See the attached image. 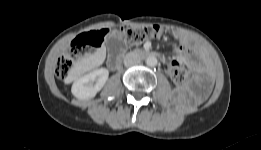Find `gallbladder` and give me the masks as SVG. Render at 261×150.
Here are the masks:
<instances>
[{
  "instance_id": "1",
  "label": "gallbladder",
  "mask_w": 261,
  "mask_h": 150,
  "mask_svg": "<svg viewBox=\"0 0 261 150\" xmlns=\"http://www.w3.org/2000/svg\"><path fill=\"white\" fill-rule=\"evenodd\" d=\"M126 45L122 39L119 37L113 36L108 39L107 48L108 51L112 54H117L122 52L125 49Z\"/></svg>"
}]
</instances>
